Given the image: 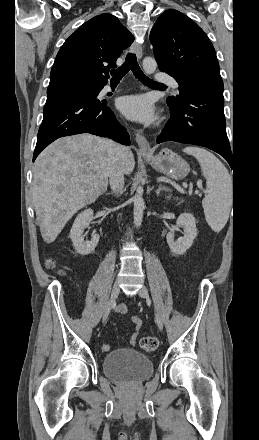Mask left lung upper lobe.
<instances>
[{"label": "left lung upper lobe", "mask_w": 259, "mask_h": 440, "mask_svg": "<svg viewBox=\"0 0 259 440\" xmlns=\"http://www.w3.org/2000/svg\"><path fill=\"white\" fill-rule=\"evenodd\" d=\"M150 42L159 68L179 84V95L167 102L180 105L183 93L196 87L223 91L214 47L189 17L173 9L165 11L151 30Z\"/></svg>", "instance_id": "obj_1"}]
</instances>
